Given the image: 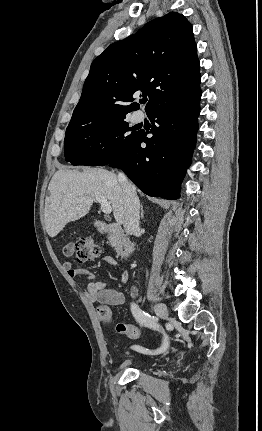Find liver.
Segmentation results:
<instances>
[{"mask_svg": "<svg viewBox=\"0 0 262 431\" xmlns=\"http://www.w3.org/2000/svg\"><path fill=\"white\" fill-rule=\"evenodd\" d=\"M48 190L44 222L52 238L68 222L88 214L95 194H102L110 202L115 220L118 224L123 223L124 191L114 172L103 168L60 169L52 177Z\"/></svg>", "mask_w": 262, "mask_h": 431, "instance_id": "6515ba94", "label": "liver"}]
</instances>
